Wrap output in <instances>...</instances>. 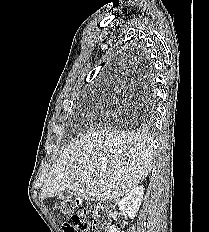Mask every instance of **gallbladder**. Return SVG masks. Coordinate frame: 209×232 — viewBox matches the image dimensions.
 Returning a JSON list of instances; mask_svg holds the SVG:
<instances>
[{
    "mask_svg": "<svg viewBox=\"0 0 209 232\" xmlns=\"http://www.w3.org/2000/svg\"><path fill=\"white\" fill-rule=\"evenodd\" d=\"M59 198L61 200H64V199L68 198V194H62V195L59 196Z\"/></svg>",
    "mask_w": 209,
    "mask_h": 232,
    "instance_id": "gallbladder-1",
    "label": "gallbladder"
}]
</instances>
